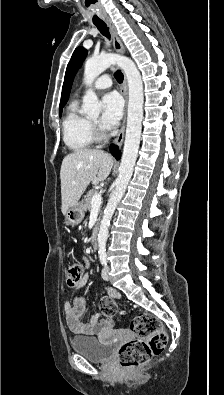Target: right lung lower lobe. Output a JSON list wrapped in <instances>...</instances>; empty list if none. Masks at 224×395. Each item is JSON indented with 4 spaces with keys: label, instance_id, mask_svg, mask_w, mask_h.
<instances>
[{
    "label": "right lung lower lobe",
    "instance_id": "98d812e1",
    "mask_svg": "<svg viewBox=\"0 0 224 395\" xmlns=\"http://www.w3.org/2000/svg\"><path fill=\"white\" fill-rule=\"evenodd\" d=\"M110 151H111L112 155H113L116 159H119V158H120L121 153H120V151H119V149H118L117 146H111Z\"/></svg>",
    "mask_w": 224,
    "mask_h": 395
}]
</instances>
